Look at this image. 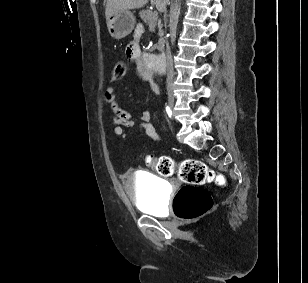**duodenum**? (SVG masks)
<instances>
[{"label":"duodenum","mask_w":308,"mask_h":283,"mask_svg":"<svg viewBox=\"0 0 308 283\" xmlns=\"http://www.w3.org/2000/svg\"><path fill=\"white\" fill-rule=\"evenodd\" d=\"M146 54L147 56L145 57V60L147 62H151L150 66L152 69H156L162 73L165 72L167 64V54L165 52L159 53L154 56L148 55V52Z\"/></svg>","instance_id":"duodenum-1"}]
</instances>
